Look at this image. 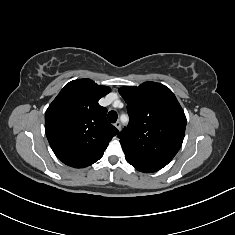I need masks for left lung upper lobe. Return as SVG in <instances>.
<instances>
[{
    "mask_svg": "<svg viewBox=\"0 0 235 235\" xmlns=\"http://www.w3.org/2000/svg\"><path fill=\"white\" fill-rule=\"evenodd\" d=\"M120 95L127 103L129 124L118 135L125 157L166 166L179 151L186 117L173 92L160 83L124 86Z\"/></svg>",
    "mask_w": 235,
    "mask_h": 235,
    "instance_id": "left-lung-upper-lobe-1",
    "label": "left lung upper lobe"
}]
</instances>
